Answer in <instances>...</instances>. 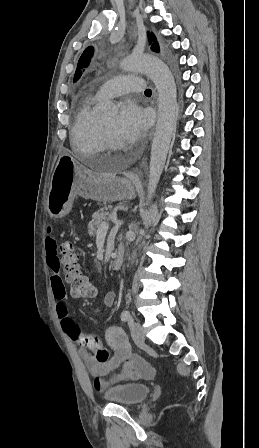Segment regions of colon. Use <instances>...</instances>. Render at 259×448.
Segmentation results:
<instances>
[{"instance_id":"1","label":"colon","mask_w":259,"mask_h":448,"mask_svg":"<svg viewBox=\"0 0 259 448\" xmlns=\"http://www.w3.org/2000/svg\"><path fill=\"white\" fill-rule=\"evenodd\" d=\"M62 264L65 274V281L68 284L73 297L85 299L94 297L96 288L93 283L83 274L80 267V256L75 251L71 243H64L61 246ZM80 345L94 352V358L99 363H106L110 360V353L101 346L97 335H85L80 340Z\"/></svg>"}]
</instances>
